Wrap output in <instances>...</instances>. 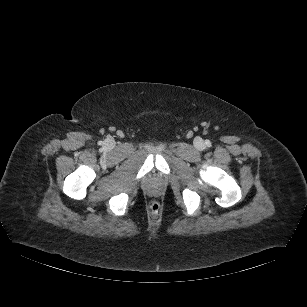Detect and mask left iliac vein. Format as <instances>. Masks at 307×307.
Wrapping results in <instances>:
<instances>
[{"mask_svg": "<svg viewBox=\"0 0 307 307\" xmlns=\"http://www.w3.org/2000/svg\"><path fill=\"white\" fill-rule=\"evenodd\" d=\"M194 145L199 150H203L205 148V144L201 138H196L194 141Z\"/></svg>", "mask_w": 307, "mask_h": 307, "instance_id": "obj_1", "label": "left iliac vein"}]
</instances>
